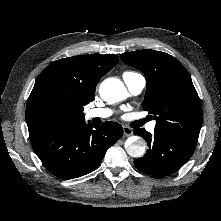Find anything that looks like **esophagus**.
<instances>
[{"label":"esophagus","instance_id":"esophagus-1","mask_svg":"<svg viewBox=\"0 0 221 221\" xmlns=\"http://www.w3.org/2000/svg\"><path fill=\"white\" fill-rule=\"evenodd\" d=\"M123 132L125 136H131L133 134V130L127 126L123 127Z\"/></svg>","mask_w":221,"mask_h":221}]
</instances>
